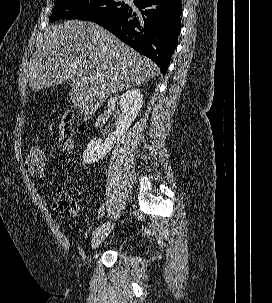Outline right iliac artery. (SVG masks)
I'll list each match as a JSON object with an SVG mask.
<instances>
[{
	"label": "right iliac artery",
	"mask_w": 272,
	"mask_h": 303,
	"mask_svg": "<svg viewBox=\"0 0 272 303\" xmlns=\"http://www.w3.org/2000/svg\"><path fill=\"white\" fill-rule=\"evenodd\" d=\"M114 217H115V214L114 213H111L110 214V217H109V220L110 221H113L114 220ZM108 225V223L107 224H102V225H100L94 232H93V234L95 235V234H97L98 232H100L101 230H103V229H105V227Z\"/></svg>",
	"instance_id": "obj_1"
}]
</instances>
